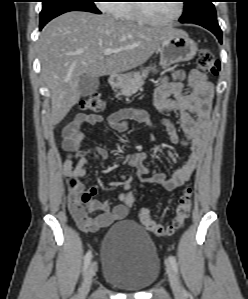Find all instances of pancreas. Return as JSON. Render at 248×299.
Instances as JSON below:
<instances>
[{
  "label": "pancreas",
  "mask_w": 248,
  "mask_h": 299,
  "mask_svg": "<svg viewBox=\"0 0 248 299\" xmlns=\"http://www.w3.org/2000/svg\"><path fill=\"white\" fill-rule=\"evenodd\" d=\"M146 76V71H143L142 74H137L133 80L121 87L120 95L130 97L131 95L135 94L144 84V78Z\"/></svg>",
  "instance_id": "cf45deb5"
}]
</instances>
